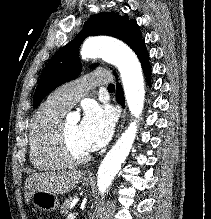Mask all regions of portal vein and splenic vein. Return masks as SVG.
<instances>
[{
  "instance_id": "portal-vein-and-splenic-vein-1",
  "label": "portal vein and splenic vein",
  "mask_w": 211,
  "mask_h": 219,
  "mask_svg": "<svg viewBox=\"0 0 211 219\" xmlns=\"http://www.w3.org/2000/svg\"><path fill=\"white\" fill-rule=\"evenodd\" d=\"M77 213H71L67 216V219H75Z\"/></svg>"
}]
</instances>
